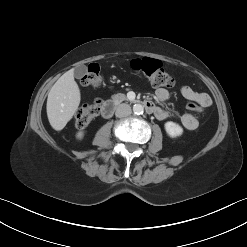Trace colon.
Wrapping results in <instances>:
<instances>
[{
  "label": "colon",
  "mask_w": 247,
  "mask_h": 247,
  "mask_svg": "<svg viewBox=\"0 0 247 247\" xmlns=\"http://www.w3.org/2000/svg\"><path fill=\"white\" fill-rule=\"evenodd\" d=\"M131 68L136 73L147 78L152 85L156 87H172L175 80L164 68L161 61L144 57L135 59L131 62ZM81 82L84 86L99 87L102 83L101 70L98 64L91 63L86 74L82 77ZM187 109L192 111H202V107L195 103L189 102L186 105ZM100 101L95 100L91 103L82 106L75 116V124L78 128L86 127L99 113Z\"/></svg>",
  "instance_id": "obj_1"
}]
</instances>
